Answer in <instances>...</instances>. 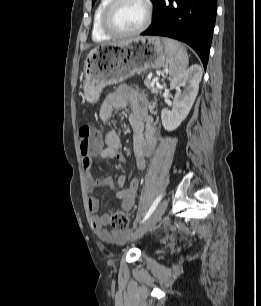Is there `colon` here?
I'll return each instance as SVG.
<instances>
[{
	"label": "colon",
	"mask_w": 261,
	"mask_h": 306,
	"mask_svg": "<svg viewBox=\"0 0 261 306\" xmlns=\"http://www.w3.org/2000/svg\"><path fill=\"white\" fill-rule=\"evenodd\" d=\"M80 150L84 158L96 154L102 146V139L98 130L91 125H83L79 129ZM109 223L113 228L124 230L129 225L128 215L120 210L111 212Z\"/></svg>",
	"instance_id": "5ec220e1"
}]
</instances>
